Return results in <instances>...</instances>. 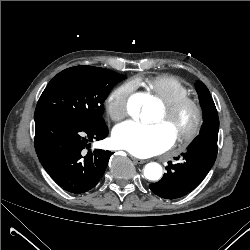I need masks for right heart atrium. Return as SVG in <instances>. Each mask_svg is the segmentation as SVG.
<instances>
[{"mask_svg":"<svg viewBox=\"0 0 250 250\" xmlns=\"http://www.w3.org/2000/svg\"><path fill=\"white\" fill-rule=\"evenodd\" d=\"M131 91V85L122 84L115 87L106 97L105 107L113 120H120L127 115Z\"/></svg>","mask_w":250,"mask_h":250,"instance_id":"obj_1","label":"right heart atrium"}]
</instances>
